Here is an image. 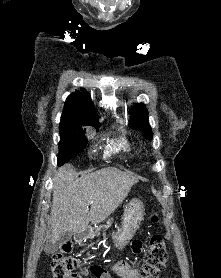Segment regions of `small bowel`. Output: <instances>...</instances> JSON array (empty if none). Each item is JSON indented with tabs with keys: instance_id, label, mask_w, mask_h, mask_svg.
Segmentation results:
<instances>
[{
	"instance_id": "c3829d8e",
	"label": "small bowel",
	"mask_w": 221,
	"mask_h": 278,
	"mask_svg": "<svg viewBox=\"0 0 221 278\" xmlns=\"http://www.w3.org/2000/svg\"><path fill=\"white\" fill-rule=\"evenodd\" d=\"M142 248V241L135 239L132 242L133 252L139 253ZM88 275L87 272H80L74 275H71L69 278H85ZM115 275L119 278H138V270L135 269L128 261L122 260L117 262L110 271L104 270L99 267V271L95 274V278H112L111 276Z\"/></svg>"
}]
</instances>
